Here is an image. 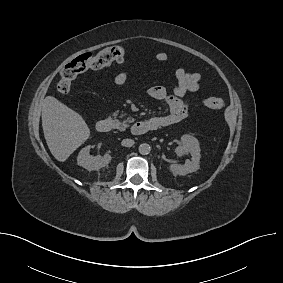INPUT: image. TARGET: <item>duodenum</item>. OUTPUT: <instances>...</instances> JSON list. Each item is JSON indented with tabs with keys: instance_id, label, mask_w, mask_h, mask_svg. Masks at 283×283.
I'll use <instances>...</instances> for the list:
<instances>
[{
	"instance_id": "410a0bca",
	"label": "duodenum",
	"mask_w": 283,
	"mask_h": 283,
	"mask_svg": "<svg viewBox=\"0 0 283 283\" xmlns=\"http://www.w3.org/2000/svg\"><path fill=\"white\" fill-rule=\"evenodd\" d=\"M113 124L108 119H101L96 123V129L99 133H108L112 130ZM159 127L155 119H147L138 121L131 127V132L134 135H143L148 132L154 131Z\"/></svg>"
}]
</instances>
